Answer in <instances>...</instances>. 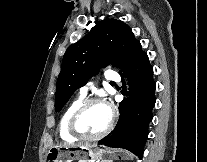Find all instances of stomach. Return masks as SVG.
Segmentation results:
<instances>
[{
  "mask_svg": "<svg viewBox=\"0 0 207 162\" xmlns=\"http://www.w3.org/2000/svg\"><path fill=\"white\" fill-rule=\"evenodd\" d=\"M46 158L48 162H73L75 160L112 162V160L126 159L127 154L123 151L116 152L107 148L55 146L49 149Z\"/></svg>",
  "mask_w": 207,
  "mask_h": 162,
  "instance_id": "0dacf381",
  "label": "stomach"
}]
</instances>
